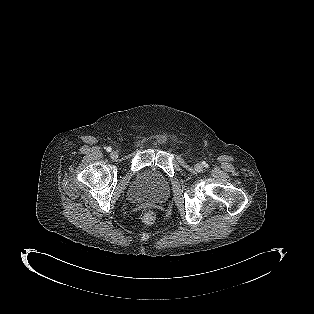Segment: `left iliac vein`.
<instances>
[{
	"instance_id": "4c4485c4",
	"label": "left iliac vein",
	"mask_w": 314,
	"mask_h": 314,
	"mask_svg": "<svg viewBox=\"0 0 314 314\" xmlns=\"http://www.w3.org/2000/svg\"><path fill=\"white\" fill-rule=\"evenodd\" d=\"M202 169H203V167H202V165H201L200 163H196V164H195V170H196V171H199V172H200Z\"/></svg>"
}]
</instances>
